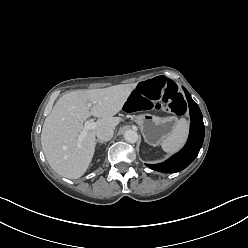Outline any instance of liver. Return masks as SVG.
I'll use <instances>...</instances> for the list:
<instances>
[{"label": "liver", "instance_id": "1", "mask_svg": "<svg viewBox=\"0 0 248 248\" xmlns=\"http://www.w3.org/2000/svg\"><path fill=\"white\" fill-rule=\"evenodd\" d=\"M137 83L120 84L103 89L75 90L55 103L46 117L41 145L50 167L68 179H78L89 168L96 146V132L101 127L115 128L120 118L114 117L123 107ZM87 103H91L89 109ZM98 118L97 127L87 132L78 146L83 122L90 116Z\"/></svg>", "mask_w": 248, "mask_h": 248}]
</instances>
